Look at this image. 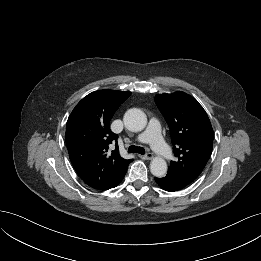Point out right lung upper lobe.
Instances as JSON below:
<instances>
[{
    "mask_svg": "<svg viewBox=\"0 0 261 261\" xmlns=\"http://www.w3.org/2000/svg\"><path fill=\"white\" fill-rule=\"evenodd\" d=\"M130 95L131 92L117 90L92 92L68 118L65 139L71 163L82 180L94 189L115 187L133 161L120 156L118 135L110 129L111 118Z\"/></svg>",
    "mask_w": 261,
    "mask_h": 261,
    "instance_id": "cb5924a9",
    "label": "right lung upper lobe"
}]
</instances>
